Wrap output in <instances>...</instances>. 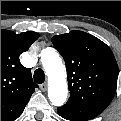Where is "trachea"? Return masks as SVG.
I'll return each instance as SVG.
<instances>
[{
	"label": "trachea",
	"mask_w": 121,
	"mask_h": 121,
	"mask_svg": "<svg viewBox=\"0 0 121 121\" xmlns=\"http://www.w3.org/2000/svg\"><path fill=\"white\" fill-rule=\"evenodd\" d=\"M45 80V74L43 72L42 69H37L35 72H34V81L38 84H41L43 83Z\"/></svg>",
	"instance_id": "obj_1"
}]
</instances>
